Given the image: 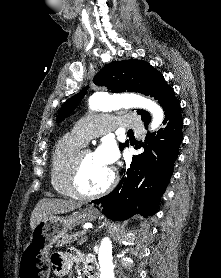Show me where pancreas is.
<instances>
[{
	"label": "pancreas",
	"mask_w": 221,
	"mask_h": 278,
	"mask_svg": "<svg viewBox=\"0 0 221 278\" xmlns=\"http://www.w3.org/2000/svg\"><path fill=\"white\" fill-rule=\"evenodd\" d=\"M84 233H73V234H66L62 237L61 240L58 241V246H65L67 244H72L79 236H82ZM81 244V241H79Z\"/></svg>",
	"instance_id": "obj_1"
}]
</instances>
